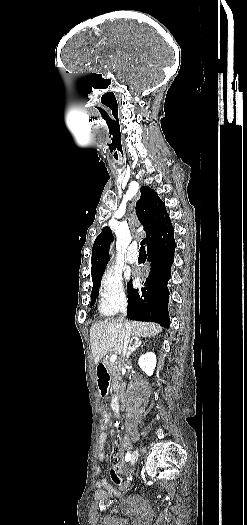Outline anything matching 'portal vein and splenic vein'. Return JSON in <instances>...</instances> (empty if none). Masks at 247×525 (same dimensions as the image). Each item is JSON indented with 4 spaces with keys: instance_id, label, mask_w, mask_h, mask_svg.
<instances>
[{
    "instance_id": "1",
    "label": "portal vein and splenic vein",
    "mask_w": 247,
    "mask_h": 525,
    "mask_svg": "<svg viewBox=\"0 0 247 525\" xmlns=\"http://www.w3.org/2000/svg\"><path fill=\"white\" fill-rule=\"evenodd\" d=\"M117 358H118V355L116 353H112L109 357V362L114 363Z\"/></svg>"
}]
</instances>
